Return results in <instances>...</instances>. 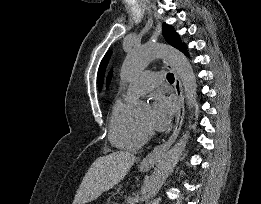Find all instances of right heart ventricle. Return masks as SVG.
<instances>
[{
    "label": "right heart ventricle",
    "mask_w": 261,
    "mask_h": 204,
    "mask_svg": "<svg viewBox=\"0 0 261 204\" xmlns=\"http://www.w3.org/2000/svg\"><path fill=\"white\" fill-rule=\"evenodd\" d=\"M129 109L130 100L127 98L114 102L109 117V140L116 148L135 152L144 145L146 135Z\"/></svg>",
    "instance_id": "e07e8e85"
}]
</instances>
